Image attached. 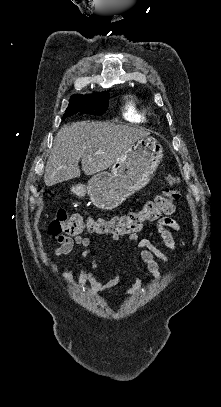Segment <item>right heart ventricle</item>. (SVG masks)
I'll use <instances>...</instances> for the list:
<instances>
[{
	"label": "right heart ventricle",
	"mask_w": 221,
	"mask_h": 407,
	"mask_svg": "<svg viewBox=\"0 0 221 407\" xmlns=\"http://www.w3.org/2000/svg\"><path fill=\"white\" fill-rule=\"evenodd\" d=\"M149 107L139 97H130L124 105L123 116L131 122H145Z\"/></svg>",
	"instance_id": "obj_1"
}]
</instances>
